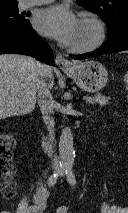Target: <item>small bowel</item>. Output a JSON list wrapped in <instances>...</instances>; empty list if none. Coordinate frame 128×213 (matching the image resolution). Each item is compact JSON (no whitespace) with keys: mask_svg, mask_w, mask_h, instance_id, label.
<instances>
[{"mask_svg":"<svg viewBox=\"0 0 128 213\" xmlns=\"http://www.w3.org/2000/svg\"><path fill=\"white\" fill-rule=\"evenodd\" d=\"M48 190L43 182L39 183L37 193L34 196V202L29 207L28 213H43L47 208Z\"/></svg>","mask_w":128,"mask_h":213,"instance_id":"small-bowel-1","label":"small bowel"}]
</instances>
